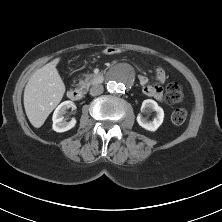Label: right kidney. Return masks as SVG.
I'll use <instances>...</instances> for the list:
<instances>
[{"label":"right kidney","mask_w":222,"mask_h":222,"mask_svg":"<svg viewBox=\"0 0 222 222\" xmlns=\"http://www.w3.org/2000/svg\"><path fill=\"white\" fill-rule=\"evenodd\" d=\"M72 108L76 109L75 104L72 101L62 102L54 111L52 121H53V130L56 132H65L70 130L76 125V119L72 118L69 122L66 121L64 115L66 111Z\"/></svg>","instance_id":"right-kidney-1"}]
</instances>
